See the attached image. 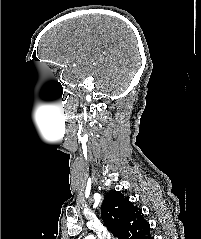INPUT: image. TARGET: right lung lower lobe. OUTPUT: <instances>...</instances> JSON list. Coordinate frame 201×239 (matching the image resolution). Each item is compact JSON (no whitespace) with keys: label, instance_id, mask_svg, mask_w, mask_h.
<instances>
[{"label":"right lung lower lobe","instance_id":"1","mask_svg":"<svg viewBox=\"0 0 201 239\" xmlns=\"http://www.w3.org/2000/svg\"><path fill=\"white\" fill-rule=\"evenodd\" d=\"M148 239H153L151 235H149Z\"/></svg>","mask_w":201,"mask_h":239}]
</instances>
